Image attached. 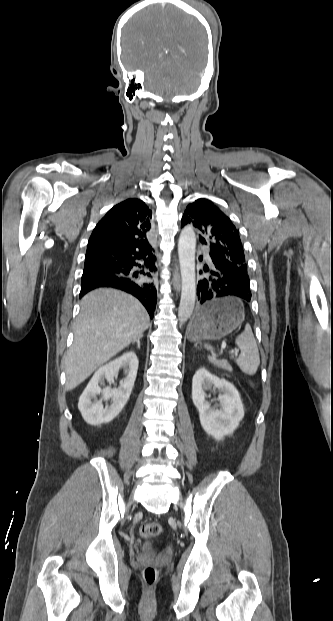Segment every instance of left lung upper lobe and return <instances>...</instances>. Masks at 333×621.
<instances>
[{"instance_id":"1","label":"left lung upper lobe","mask_w":333,"mask_h":621,"mask_svg":"<svg viewBox=\"0 0 333 621\" xmlns=\"http://www.w3.org/2000/svg\"><path fill=\"white\" fill-rule=\"evenodd\" d=\"M181 222L182 226L191 224L197 228L201 233L200 241L206 243V237L212 252L229 259L236 267L247 270L238 230L229 217L211 201L200 198L189 204Z\"/></svg>"}]
</instances>
